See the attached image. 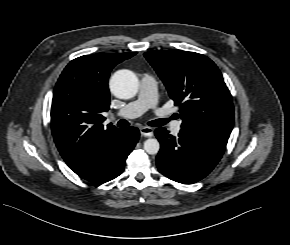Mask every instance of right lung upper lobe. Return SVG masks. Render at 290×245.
<instances>
[{
	"label": "right lung upper lobe",
	"mask_w": 290,
	"mask_h": 245,
	"mask_svg": "<svg viewBox=\"0 0 290 245\" xmlns=\"http://www.w3.org/2000/svg\"><path fill=\"white\" fill-rule=\"evenodd\" d=\"M132 53H98L72 60L53 94L51 129L67 165L79 172L96 164L116 144L121 129L102 123L108 111V78L112 68Z\"/></svg>",
	"instance_id": "obj_1"
}]
</instances>
